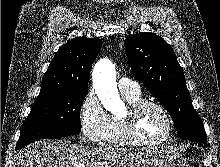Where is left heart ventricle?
Listing matches in <instances>:
<instances>
[{"mask_svg":"<svg viewBox=\"0 0 220 167\" xmlns=\"http://www.w3.org/2000/svg\"><path fill=\"white\" fill-rule=\"evenodd\" d=\"M136 131L143 139H159L167 132L166 118L159 109L148 106L139 114Z\"/></svg>","mask_w":220,"mask_h":167,"instance_id":"left-heart-ventricle-1","label":"left heart ventricle"}]
</instances>
